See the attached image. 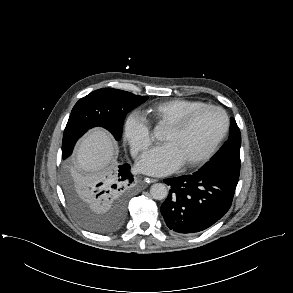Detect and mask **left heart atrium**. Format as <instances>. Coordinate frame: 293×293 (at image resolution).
<instances>
[{
    "label": "left heart atrium",
    "mask_w": 293,
    "mask_h": 293,
    "mask_svg": "<svg viewBox=\"0 0 293 293\" xmlns=\"http://www.w3.org/2000/svg\"><path fill=\"white\" fill-rule=\"evenodd\" d=\"M181 159L170 144L156 147L144 154L139 161L138 170L151 175H165L178 169Z\"/></svg>",
    "instance_id": "1"
}]
</instances>
